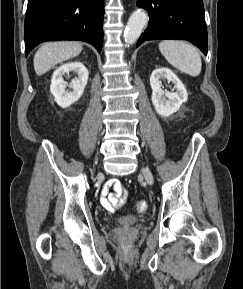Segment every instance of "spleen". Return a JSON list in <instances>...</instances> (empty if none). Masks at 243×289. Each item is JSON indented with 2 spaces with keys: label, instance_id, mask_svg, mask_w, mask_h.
I'll return each instance as SVG.
<instances>
[{
  "label": "spleen",
  "instance_id": "3e777b00",
  "mask_svg": "<svg viewBox=\"0 0 243 289\" xmlns=\"http://www.w3.org/2000/svg\"><path fill=\"white\" fill-rule=\"evenodd\" d=\"M159 49L176 69L194 77L200 74L202 61L193 45L184 41L164 40L159 43Z\"/></svg>",
  "mask_w": 243,
  "mask_h": 289
}]
</instances>
